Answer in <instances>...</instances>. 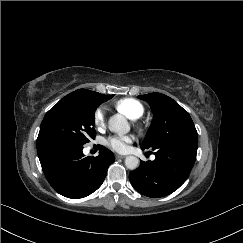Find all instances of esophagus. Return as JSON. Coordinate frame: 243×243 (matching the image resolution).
<instances>
[{
  "label": "esophagus",
  "mask_w": 243,
  "mask_h": 243,
  "mask_svg": "<svg viewBox=\"0 0 243 243\" xmlns=\"http://www.w3.org/2000/svg\"><path fill=\"white\" fill-rule=\"evenodd\" d=\"M115 158L116 159H124L125 156L124 155H120V154H115Z\"/></svg>",
  "instance_id": "1"
}]
</instances>
